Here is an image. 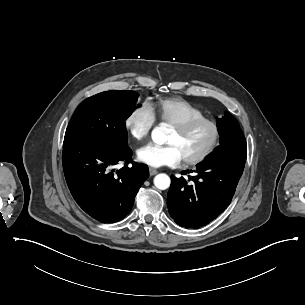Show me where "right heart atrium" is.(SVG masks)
Masks as SVG:
<instances>
[{
  "mask_svg": "<svg viewBox=\"0 0 305 305\" xmlns=\"http://www.w3.org/2000/svg\"><path fill=\"white\" fill-rule=\"evenodd\" d=\"M155 124V117L149 106L141 104L133 109L125 119V127L130 137L136 141L145 139Z\"/></svg>",
  "mask_w": 305,
  "mask_h": 305,
  "instance_id": "d8ad5b80",
  "label": "right heart atrium"
}]
</instances>
